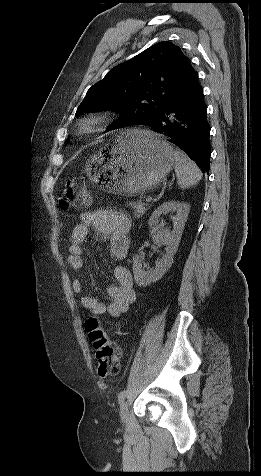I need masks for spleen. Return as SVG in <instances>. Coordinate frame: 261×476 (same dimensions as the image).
I'll list each match as a JSON object with an SVG mask.
<instances>
[{
    "mask_svg": "<svg viewBox=\"0 0 261 476\" xmlns=\"http://www.w3.org/2000/svg\"><path fill=\"white\" fill-rule=\"evenodd\" d=\"M173 156L178 186L186 189L196 185L202 178V172L197 165L182 151L174 150Z\"/></svg>",
    "mask_w": 261,
    "mask_h": 476,
    "instance_id": "obj_1",
    "label": "spleen"
}]
</instances>
